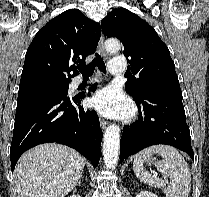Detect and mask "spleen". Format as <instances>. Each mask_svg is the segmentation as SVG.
Segmentation results:
<instances>
[{
  "mask_svg": "<svg viewBox=\"0 0 209 197\" xmlns=\"http://www.w3.org/2000/svg\"><path fill=\"white\" fill-rule=\"evenodd\" d=\"M153 154L163 157V160L155 163L163 178L152 176L143 168L145 160ZM133 171L144 184L162 189L166 197H188L190 193V168L184 157L172 146L159 144L142 150L134 158Z\"/></svg>",
  "mask_w": 209,
  "mask_h": 197,
  "instance_id": "1",
  "label": "spleen"
}]
</instances>
